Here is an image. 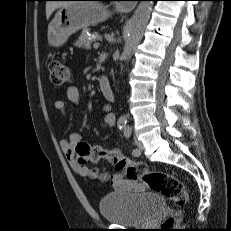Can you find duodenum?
Masks as SVG:
<instances>
[{"label": "duodenum", "mask_w": 231, "mask_h": 231, "mask_svg": "<svg viewBox=\"0 0 231 231\" xmlns=\"http://www.w3.org/2000/svg\"><path fill=\"white\" fill-rule=\"evenodd\" d=\"M99 87H100L102 94L104 95V97L108 101H114L115 100L114 90L111 87L109 81L105 77L99 78Z\"/></svg>", "instance_id": "obj_1"}]
</instances>
